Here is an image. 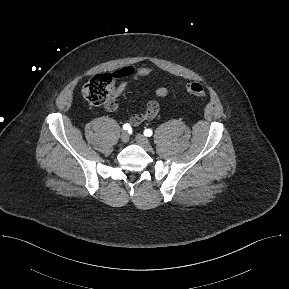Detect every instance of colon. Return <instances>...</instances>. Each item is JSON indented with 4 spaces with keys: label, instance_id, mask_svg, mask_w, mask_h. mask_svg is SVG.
Returning <instances> with one entry per match:
<instances>
[{
    "label": "colon",
    "instance_id": "obj_1",
    "mask_svg": "<svg viewBox=\"0 0 289 289\" xmlns=\"http://www.w3.org/2000/svg\"><path fill=\"white\" fill-rule=\"evenodd\" d=\"M112 80L113 77L110 74L94 76L83 86V96L92 105H103L109 111L115 110L117 101L110 93ZM185 90L196 97L202 98L206 96V90L199 82L187 83Z\"/></svg>",
    "mask_w": 289,
    "mask_h": 289
}]
</instances>
